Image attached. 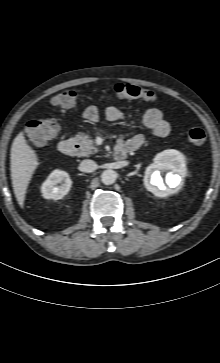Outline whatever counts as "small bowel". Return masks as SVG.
Here are the masks:
<instances>
[{"instance_id": "obj_1", "label": "small bowel", "mask_w": 220, "mask_h": 363, "mask_svg": "<svg viewBox=\"0 0 220 363\" xmlns=\"http://www.w3.org/2000/svg\"><path fill=\"white\" fill-rule=\"evenodd\" d=\"M99 115V109L93 105L87 107L83 113V117L90 122L98 121ZM105 117L109 121H119L123 119L124 114L119 108L109 106L105 109ZM142 123L154 136L165 137L170 133L169 123L164 119L161 110L157 108L148 109L143 115ZM143 142L142 135H135L129 139H121L118 146L129 151H136L142 146Z\"/></svg>"}]
</instances>
